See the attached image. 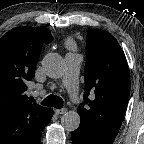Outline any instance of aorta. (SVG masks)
<instances>
[{"mask_svg": "<svg viewBox=\"0 0 144 144\" xmlns=\"http://www.w3.org/2000/svg\"><path fill=\"white\" fill-rule=\"evenodd\" d=\"M42 67L50 78H60L64 74V60L57 54H48L43 58ZM61 124L67 131H74L80 125V116L76 111L66 112L61 118Z\"/></svg>", "mask_w": 144, "mask_h": 144, "instance_id": "1", "label": "aorta"}]
</instances>
